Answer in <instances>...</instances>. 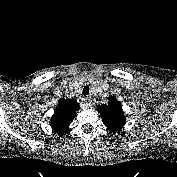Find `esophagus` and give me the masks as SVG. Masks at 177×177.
I'll return each instance as SVG.
<instances>
[{
	"label": "esophagus",
	"instance_id": "1",
	"mask_svg": "<svg viewBox=\"0 0 177 177\" xmlns=\"http://www.w3.org/2000/svg\"><path fill=\"white\" fill-rule=\"evenodd\" d=\"M84 102H85L86 106H88V107L93 105V99L91 97H86L84 99Z\"/></svg>",
	"mask_w": 177,
	"mask_h": 177
}]
</instances>
